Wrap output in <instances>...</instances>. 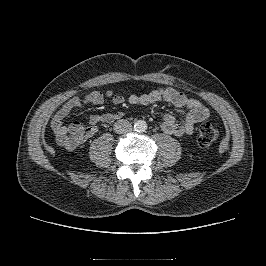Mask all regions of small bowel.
<instances>
[{
  "instance_id": "c3829d8e",
  "label": "small bowel",
  "mask_w": 266,
  "mask_h": 266,
  "mask_svg": "<svg viewBox=\"0 0 266 266\" xmlns=\"http://www.w3.org/2000/svg\"><path fill=\"white\" fill-rule=\"evenodd\" d=\"M105 99L110 100L115 105H121L125 102L123 95L112 90H108L105 94L92 92L83 98L73 97L69 99L51 120L50 127L56 142L66 149H75L98 133L99 124L110 125L122 118V112L94 114L90 116L86 125L80 122L65 124L66 118L73 111L89 104L101 105ZM160 101L168 103L182 114L181 121H177L173 113H165L160 119L162 131L176 137L191 135L195 126L210 115L209 109L203 103L170 87H158L147 93L133 94L129 97V102L132 104L149 105Z\"/></svg>"
}]
</instances>
